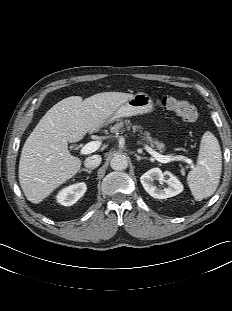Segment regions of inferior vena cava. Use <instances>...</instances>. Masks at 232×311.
<instances>
[{
  "mask_svg": "<svg viewBox=\"0 0 232 311\" xmlns=\"http://www.w3.org/2000/svg\"><path fill=\"white\" fill-rule=\"evenodd\" d=\"M101 161H102V158L100 155H92L85 159L84 165L86 168L94 169L100 165Z\"/></svg>",
  "mask_w": 232,
  "mask_h": 311,
  "instance_id": "1",
  "label": "inferior vena cava"
}]
</instances>
